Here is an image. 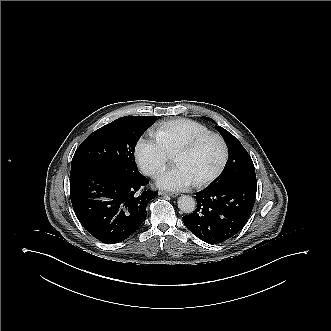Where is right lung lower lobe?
Wrapping results in <instances>:
<instances>
[{"label":"right lung lower lobe","instance_id":"1","mask_svg":"<svg viewBox=\"0 0 331 331\" xmlns=\"http://www.w3.org/2000/svg\"><path fill=\"white\" fill-rule=\"evenodd\" d=\"M148 179L127 178L107 168H86L70 175V197L82 226L96 239L114 244L127 239L147 217L157 192L145 190Z\"/></svg>","mask_w":331,"mask_h":331}]
</instances>
